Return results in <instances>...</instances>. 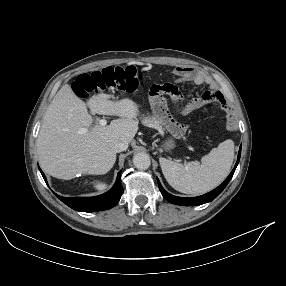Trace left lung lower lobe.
Listing matches in <instances>:
<instances>
[{"mask_svg": "<svg viewBox=\"0 0 286 286\" xmlns=\"http://www.w3.org/2000/svg\"><path fill=\"white\" fill-rule=\"evenodd\" d=\"M240 155H241V146H240V150L238 153L237 162L235 164L234 169L230 173V175L226 178V180L220 186H218L216 189L210 191L209 193H206V194L198 196V197H193V198L176 197V196H173V195L169 194L168 192H166L163 189V187L161 186L159 180L157 179L159 189H160L162 195L165 197V199H167L169 202L177 204V205L196 206V205H201V204L210 202L214 198H216L223 191V189L226 187V185L229 183V181L232 178V176L236 170V167L239 163Z\"/></svg>", "mask_w": 286, "mask_h": 286, "instance_id": "left-lung-lower-lobe-1", "label": "left lung lower lobe"}]
</instances>
